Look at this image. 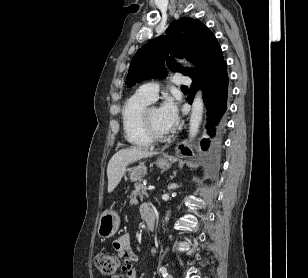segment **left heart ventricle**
<instances>
[{
	"instance_id": "obj_1",
	"label": "left heart ventricle",
	"mask_w": 308,
	"mask_h": 278,
	"mask_svg": "<svg viewBox=\"0 0 308 278\" xmlns=\"http://www.w3.org/2000/svg\"><path fill=\"white\" fill-rule=\"evenodd\" d=\"M149 120H150V123H151L152 127L154 128V130L156 132L164 134V131L162 130V128L160 126L159 113H158V109L157 108H154V109L150 110V112H149Z\"/></svg>"
}]
</instances>
